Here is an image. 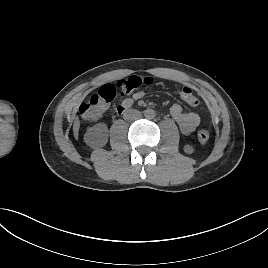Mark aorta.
I'll list each match as a JSON object with an SVG mask.
<instances>
[{
    "label": "aorta",
    "mask_w": 268,
    "mask_h": 268,
    "mask_svg": "<svg viewBox=\"0 0 268 268\" xmlns=\"http://www.w3.org/2000/svg\"><path fill=\"white\" fill-rule=\"evenodd\" d=\"M144 116L147 119H153L155 117V111L153 109H146L144 111Z\"/></svg>",
    "instance_id": "762f6f07"
}]
</instances>
